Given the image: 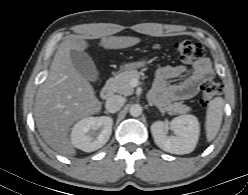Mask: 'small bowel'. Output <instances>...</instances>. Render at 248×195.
I'll return each instance as SVG.
<instances>
[{"mask_svg": "<svg viewBox=\"0 0 248 195\" xmlns=\"http://www.w3.org/2000/svg\"><path fill=\"white\" fill-rule=\"evenodd\" d=\"M185 72L186 67L183 65L160 67L150 92L151 100L160 107H166L173 102L190 99L197 94L201 84L213 77L212 64L204 58L193 65L190 74L181 82L170 83L171 80L182 77Z\"/></svg>", "mask_w": 248, "mask_h": 195, "instance_id": "obj_1", "label": "small bowel"}]
</instances>
